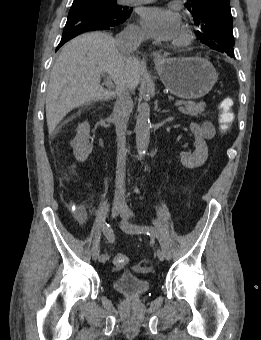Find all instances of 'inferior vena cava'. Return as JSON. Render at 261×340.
I'll use <instances>...</instances> for the list:
<instances>
[{"label":"inferior vena cava","mask_w":261,"mask_h":340,"mask_svg":"<svg viewBox=\"0 0 261 340\" xmlns=\"http://www.w3.org/2000/svg\"><path fill=\"white\" fill-rule=\"evenodd\" d=\"M143 40L144 34L135 28H126L115 38L118 49L124 54H130L135 51ZM132 105L130 88L125 84L118 86L113 111L117 135L116 200L123 199L125 196L126 130Z\"/></svg>","instance_id":"obj_1"}]
</instances>
